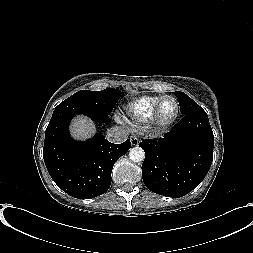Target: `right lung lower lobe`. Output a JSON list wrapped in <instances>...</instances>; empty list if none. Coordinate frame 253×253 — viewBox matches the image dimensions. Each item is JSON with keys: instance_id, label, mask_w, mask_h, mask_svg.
Here are the masks:
<instances>
[{"instance_id": "obj_1", "label": "right lung lower lobe", "mask_w": 253, "mask_h": 253, "mask_svg": "<svg viewBox=\"0 0 253 253\" xmlns=\"http://www.w3.org/2000/svg\"><path fill=\"white\" fill-rule=\"evenodd\" d=\"M77 114L87 115L95 122L110 121L108 114L84 106L58 105L46 129L43 157L60 189L75 198L90 199L109 189L113 166L130 149L131 143L127 139L114 144L101 134L85 142L72 141L68 125Z\"/></svg>"}]
</instances>
